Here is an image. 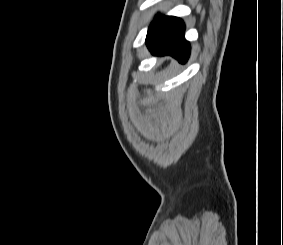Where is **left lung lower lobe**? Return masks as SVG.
I'll return each instance as SVG.
<instances>
[{"instance_id": "left-lung-lower-lobe-1", "label": "left lung lower lobe", "mask_w": 283, "mask_h": 245, "mask_svg": "<svg viewBox=\"0 0 283 245\" xmlns=\"http://www.w3.org/2000/svg\"><path fill=\"white\" fill-rule=\"evenodd\" d=\"M185 25L173 16H162L148 31L146 44L153 54L171 55L181 63L189 57L190 45L184 39Z\"/></svg>"}]
</instances>
